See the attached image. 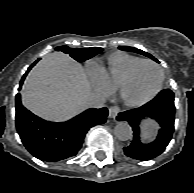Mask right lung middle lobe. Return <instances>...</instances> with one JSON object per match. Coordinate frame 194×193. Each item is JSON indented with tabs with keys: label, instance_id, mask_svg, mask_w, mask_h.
<instances>
[{
	"label": "right lung middle lobe",
	"instance_id": "1",
	"mask_svg": "<svg viewBox=\"0 0 194 193\" xmlns=\"http://www.w3.org/2000/svg\"><path fill=\"white\" fill-rule=\"evenodd\" d=\"M57 51H62L66 54H69L72 58L78 62H83L87 59L92 58L96 54L102 51V48H68L67 46L57 47Z\"/></svg>",
	"mask_w": 194,
	"mask_h": 193
}]
</instances>
